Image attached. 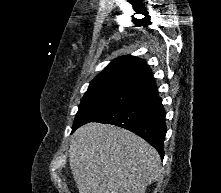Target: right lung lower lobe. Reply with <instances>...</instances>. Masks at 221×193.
<instances>
[{
  "label": "right lung lower lobe",
  "instance_id": "1",
  "mask_svg": "<svg viewBox=\"0 0 221 193\" xmlns=\"http://www.w3.org/2000/svg\"><path fill=\"white\" fill-rule=\"evenodd\" d=\"M165 115L162 99L153 83L126 104L97 117L92 122L113 124L130 130L152 145L163 159L167 132Z\"/></svg>",
  "mask_w": 221,
  "mask_h": 193
}]
</instances>
